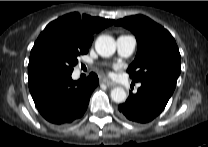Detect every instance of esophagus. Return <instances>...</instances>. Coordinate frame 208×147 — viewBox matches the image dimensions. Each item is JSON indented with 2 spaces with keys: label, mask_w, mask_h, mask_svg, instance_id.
Masks as SVG:
<instances>
[{
  "label": "esophagus",
  "mask_w": 208,
  "mask_h": 147,
  "mask_svg": "<svg viewBox=\"0 0 208 147\" xmlns=\"http://www.w3.org/2000/svg\"><path fill=\"white\" fill-rule=\"evenodd\" d=\"M102 82L105 83L109 87H115L117 84L107 78H103Z\"/></svg>",
  "instance_id": "esophagus-1"
}]
</instances>
